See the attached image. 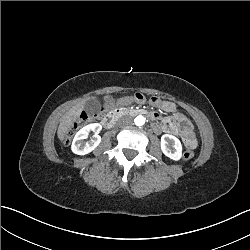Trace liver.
<instances>
[{"instance_id": "liver-1", "label": "liver", "mask_w": 250, "mask_h": 250, "mask_svg": "<svg viewBox=\"0 0 250 250\" xmlns=\"http://www.w3.org/2000/svg\"><path fill=\"white\" fill-rule=\"evenodd\" d=\"M83 110L82 102L72 107L66 114L63 116L59 127L58 133L62 136L67 133L68 127L72 122L80 115V112Z\"/></svg>"}]
</instances>
